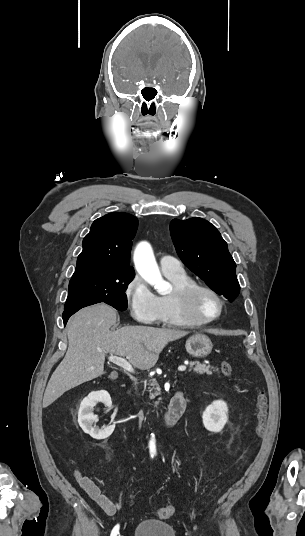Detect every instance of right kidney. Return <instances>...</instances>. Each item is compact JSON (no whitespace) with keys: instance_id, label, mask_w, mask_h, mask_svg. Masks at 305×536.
Instances as JSON below:
<instances>
[{"instance_id":"right-kidney-1","label":"right kidney","mask_w":305,"mask_h":536,"mask_svg":"<svg viewBox=\"0 0 305 536\" xmlns=\"http://www.w3.org/2000/svg\"><path fill=\"white\" fill-rule=\"evenodd\" d=\"M98 402H102V404H105V406H108V408H110L112 404L108 392H96V394H89L88 398H84L83 402H81L78 414V422L80 428H82L85 434H90V436L95 438V440H105V438L111 436L115 428V424H113V426H108V428H104V430H100V428H97V426H93L94 422H97L98 418L97 416H94L92 410L94 406L98 404Z\"/></svg>"}]
</instances>
